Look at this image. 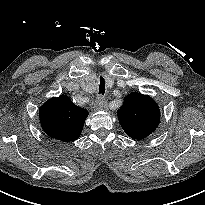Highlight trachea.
Wrapping results in <instances>:
<instances>
[{
  "label": "trachea",
  "instance_id": "1",
  "mask_svg": "<svg viewBox=\"0 0 205 205\" xmlns=\"http://www.w3.org/2000/svg\"><path fill=\"white\" fill-rule=\"evenodd\" d=\"M98 93L104 95L105 93V81L100 77V82L98 84Z\"/></svg>",
  "mask_w": 205,
  "mask_h": 205
}]
</instances>
